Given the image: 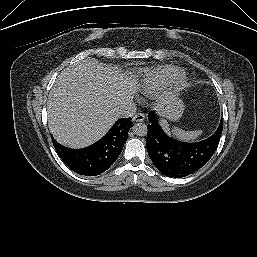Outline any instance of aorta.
<instances>
[{
	"mask_svg": "<svg viewBox=\"0 0 257 257\" xmlns=\"http://www.w3.org/2000/svg\"><path fill=\"white\" fill-rule=\"evenodd\" d=\"M132 130L137 136H145L147 134V126L144 123H137L132 127Z\"/></svg>",
	"mask_w": 257,
	"mask_h": 257,
	"instance_id": "1",
	"label": "aorta"
}]
</instances>
